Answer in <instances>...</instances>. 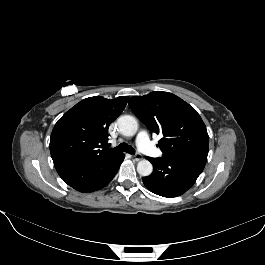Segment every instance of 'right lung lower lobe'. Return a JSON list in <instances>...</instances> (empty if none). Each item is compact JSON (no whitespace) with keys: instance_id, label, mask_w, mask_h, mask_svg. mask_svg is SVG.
<instances>
[{"instance_id":"98d812e1","label":"right lung lower lobe","mask_w":265,"mask_h":265,"mask_svg":"<svg viewBox=\"0 0 265 265\" xmlns=\"http://www.w3.org/2000/svg\"><path fill=\"white\" fill-rule=\"evenodd\" d=\"M124 154L105 159H90L73 164L56 166L59 176L80 192H92L107 185L117 173Z\"/></svg>"}]
</instances>
